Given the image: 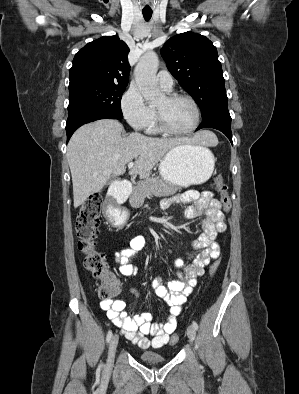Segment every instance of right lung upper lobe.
<instances>
[{"label":"right lung upper lobe","instance_id":"cb5924a9","mask_svg":"<svg viewBox=\"0 0 299 394\" xmlns=\"http://www.w3.org/2000/svg\"><path fill=\"white\" fill-rule=\"evenodd\" d=\"M129 48L117 36H104L77 52L70 69L69 87L88 83L127 86Z\"/></svg>","mask_w":299,"mask_h":394}]
</instances>
